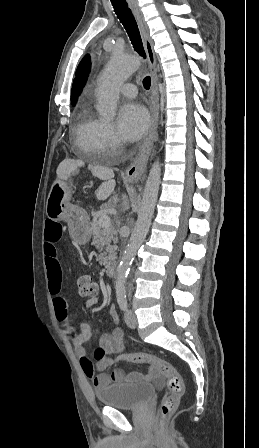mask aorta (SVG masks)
Wrapping results in <instances>:
<instances>
[{
  "instance_id": "1",
  "label": "aorta",
  "mask_w": 259,
  "mask_h": 448,
  "mask_svg": "<svg viewBox=\"0 0 259 448\" xmlns=\"http://www.w3.org/2000/svg\"><path fill=\"white\" fill-rule=\"evenodd\" d=\"M140 66L136 56L118 54L107 64L96 91L99 114L106 120H112L116 114L119 100V89L125 80ZM161 183V164L155 161L152 165L142 196L138 218L130 240L123 253L116 277V292L124 293L127 276L135 255L148 233Z\"/></svg>"
}]
</instances>
